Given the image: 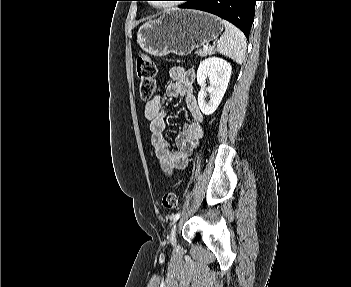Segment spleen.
Listing matches in <instances>:
<instances>
[{
    "instance_id": "1",
    "label": "spleen",
    "mask_w": 351,
    "mask_h": 287,
    "mask_svg": "<svg viewBox=\"0 0 351 287\" xmlns=\"http://www.w3.org/2000/svg\"><path fill=\"white\" fill-rule=\"evenodd\" d=\"M222 24L225 27V32L218 41L217 51L236 63L242 64L247 48L246 38L242 31L228 21L222 20Z\"/></svg>"
}]
</instances>
